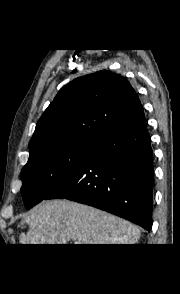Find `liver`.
Listing matches in <instances>:
<instances>
[{
  "label": "liver",
  "mask_w": 180,
  "mask_h": 294,
  "mask_svg": "<svg viewBox=\"0 0 180 294\" xmlns=\"http://www.w3.org/2000/svg\"><path fill=\"white\" fill-rule=\"evenodd\" d=\"M28 223L20 244H135L138 227L105 211L68 200H51L34 208L21 222Z\"/></svg>",
  "instance_id": "liver-1"
}]
</instances>
